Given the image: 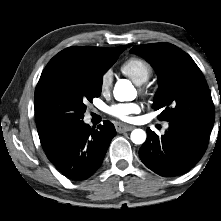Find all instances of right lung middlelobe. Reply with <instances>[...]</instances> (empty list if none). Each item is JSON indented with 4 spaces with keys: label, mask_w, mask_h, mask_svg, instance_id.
<instances>
[{
    "label": "right lung middle lobe",
    "mask_w": 221,
    "mask_h": 221,
    "mask_svg": "<svg viewBox=\"0 0 221 221\" xmlns=\"http://www.w3.org/2000/svg\"><path fill=\"white\" fill-rule=\"evenodd\" d=\"M116 60L63 63L42 72L34 96L40 139H54L83 119L85 104L100 96L103 74Z\"/></svg>",
    "instance_id": "obj_1"
}]
</instances>
